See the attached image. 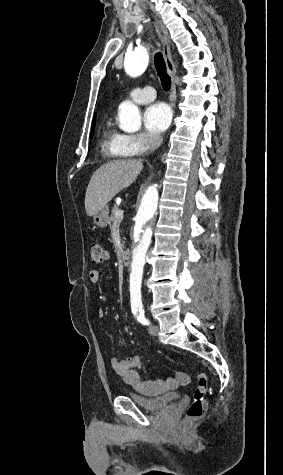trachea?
<instances>
[{"instance_id": "obj_1", "label": "trachea", "mask_w": 283, "mask_h": 475, "mask_svg": "<svg viewBox=\"0 0 283 475\" xmlns=\"http://www.w3.org/2000/svg\"><path fill=\"white\" fill-rule=\"evenodd\" d=\"M154 64H155L157 74L160 77L161 85L163 89L168 92L171 88V78L167 74L166 63L161 53L155 54Z\"/></svg>"}]
</instances>
